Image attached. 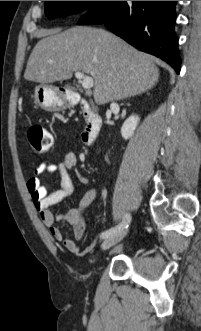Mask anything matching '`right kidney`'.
Segmentation results:
<instances>
[{
  "mask_svg": "<svg viewBox=\"0 0 201 331\" xmlns=\"http://www.w3.org/2000/svg\"><path fill=\"white\" fill-rule=\"evenodd\" d=\"M139 122V117L132 115L126 121L124 122L122 128H121V135L122 137L127 140L130 137L133 136L134 131L136 130V127Z\"/></svg>",
  "mask_w": 201,
  "mask_h": 331,
  "instance_id": "right-kidney-1",
  "label": "right kidney"
}]
</instances>
